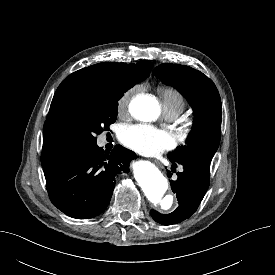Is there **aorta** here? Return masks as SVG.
I'll return each mask as SVG.
<instances>
[{"label": "aorta", "instance_id": "762f6f07", "mask_svg": "<svg viewBox=\"0 0 275 275\" xmlns=\"http://www.w3.org/2000/svg\"><path fill=\"white\" fill-rule=\"evenodd\" d=\"M129 111L136 119L149 122L158 117L160 106L155 97L138 95L131 101ZM133 172L136 181L152 204L164 210L172 206L173 196H164L168 189L167 179L158 167L147 161H139L134 165Z\"/></svg>", "mask_w": 275, "mask_h": 275}]
</instances>
